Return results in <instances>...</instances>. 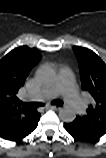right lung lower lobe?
<instances>
[{"label":"right lung lower lobe","mask_w":106,"mask_h":158,"mask_svg":"<svg viewBox=\"0 0 106 158\" xmlns=\"http://www.w3.org/2000/svg\"><path fill=\"white\" fill-rule=\"evenodd\" d=\"M39 118H40V116H39ZM39 118H38V119L35 121V123H34L23 135H21L20 137H23V136H26V135L30 134V133L37 127ZM20 137H17V138H20Z\"/></svg>","instance_id":"obj_1"}]
</instances>
